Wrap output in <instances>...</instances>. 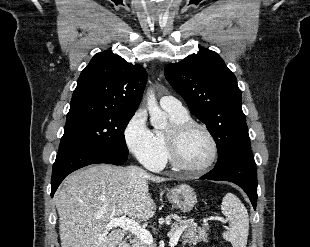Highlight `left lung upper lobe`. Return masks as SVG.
<instances>
[{
	"label": "left lung upper lobe",
	"mask_w": 310,
	"mask_h": 247,
	"mask_svg": "<svg viewBox=\"0 0 310 247\" xmlns=\"http://www.w3.org/2000/svg\"><path fill=\"white\" fill-rule=\"evenodd\" d=\"M164 73L191 113L208 127L218 148L217 164L251 150L241 91L235 75L216 52L202 48L167 65Z\"/></svg>",
	"instance_id": "1"
}]
</instances>
